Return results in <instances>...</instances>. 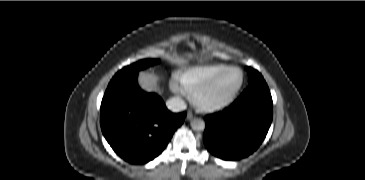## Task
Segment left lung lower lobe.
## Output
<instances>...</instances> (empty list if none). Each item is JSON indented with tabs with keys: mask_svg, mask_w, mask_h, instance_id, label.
<instances>
[{
	"mask_svg": "<svg viewBox=\"0 0 365 180\" xmlns=\"http://www.w3.org/2000/svg\"><path fill=\"white\" fill-rule=\"evenodd\" d=\"M272 116L273 102L265 80L250 84L230 107L205 117L204 144L224 160L247 157L266 137Z\"/></svg>",
	"mask_w": 365,
	"mask_h": 180,
	"instance_id": "left-lung-lower-lobe-1",
	"label": "left lung lower lobe"
}]
</instances>
